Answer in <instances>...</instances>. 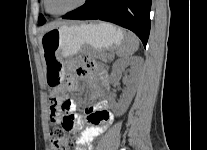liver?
Returning a JSON list of instances; mask_svg holds the SVG:
<instances>
[{
  "label": "liver",
  "instance_id": "1",
  "mask_svg": "<svg viewBox=\"0 0 207 150\" xmlns=\"http://www.w3.org/2000/svg\"><path fill=\"white\" fill-rule=\"evenodd\" d=\"M69 23H74V22H73V21H62V20H57V21H55V22H51V23H48V24L44 25V26L41 28V36L39 37L40 42H41L42 35H43L45 32H47V31H49V30H51V29H53V28L59 27V26H61V25L69 24Z\"/></svg>",
  "mask_w": 207,
  "mask_h": 150
}]
</instances>
